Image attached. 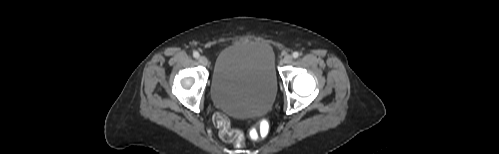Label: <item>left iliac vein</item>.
Returning <instances> with one entry per match:
<instances>
[{
    "label": "left iliac vein",
    "instance_id": "obj_1",
    "mask_svg": "<svg viewBox=\"0 0 499 154\" xmlns=\"http://www.w3.org/2000/svg\"><path fill=\"white\" fill-rule=\"evenodd\" d=\"M293 60V57L291 55H286L284 58H283V63L284 64H290Z\"/></svg>",
    "mask_w": 499,
    "mask_h": 154
}]
</instances>
